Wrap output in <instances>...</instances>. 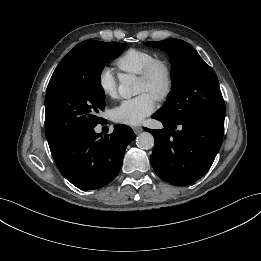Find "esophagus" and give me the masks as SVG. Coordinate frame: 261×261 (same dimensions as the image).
I'll return each instance as SVG.
<instances>
[{
  "mask_svg": "<svg viewBox=\"0 0 261 261\" xmlns=\"http://www.w3.org/2000/svg\"><path fill=\"white\" fill-rule=\"evenodd\" d=\"M133 131L135 132V134H139L143 131V128L139 126H135L133 127Z\"/></svg>",
  "mask_w": 261,
  "mask_h": 261,
  "instance_id": "34e87169",
  "label": "esophagus"
}]
</instances>
